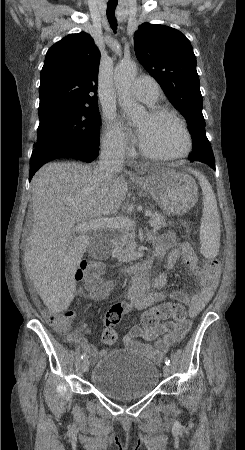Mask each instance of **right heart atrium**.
<instances>
[{
  "label": "right heart atrium",
  "mask_w": 245,
  "mask_h": 450,
  "mask_svg": "<svg viewBox=\"0 0 245 450\" xmlns=\"http://www.w3.org/2000/svg\"><path fill=\"white\" fill-rule=\"evenodd\" d=\"M102 145L107 152L117 156L131 150V142L128 135L112 116L105 117Z\"/></svg>",
  "instance_id": "right-heart-atrium-1"
}]
</instances>
